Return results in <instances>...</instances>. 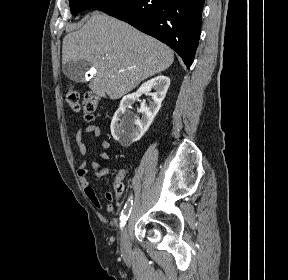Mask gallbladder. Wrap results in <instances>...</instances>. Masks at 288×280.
I'll return each instance as SVG.
<instances>
[{"label":"gallbladder","instance_id":"gallbladder-1","mask_svg":"<svg viewBox=\"0 0 288 280\" xmlns=\"http://www.w3.org/2000/svg\"><path fill=\"white\" fill-rule=\"evenodd\" d=\"M62 69L70 80L81 83L85 82V73L89 70V63L85 60H73L63 64Z\"/></svg>","mask_w":288,"mask_h":280}]
</instances>
